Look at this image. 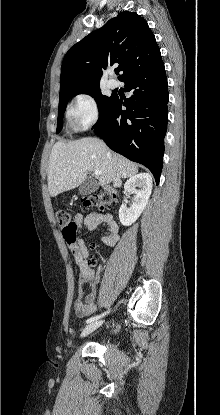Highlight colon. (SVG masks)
<instances>
[{
  "instance_id": "1",
  "label": "colon",
  "mask_w": 220,
  "mask_h": 415,
  "mask_svg": "<svg viewBox=\"0 0 220 415\" xmlns=\"http://www.w3.org/2000/svg\"><path fill=\"white\" fill-rule=\"evenodd\" d=\"M116 196L107 191L97 192L83 201L85 207H97L100 209L110 208L115 203ZM55 219L57 224L62 227L64 233H71L75 231L74 220L70 213L66 210L59 209L55 212Z\"/></svg>"
}]
</instances>
